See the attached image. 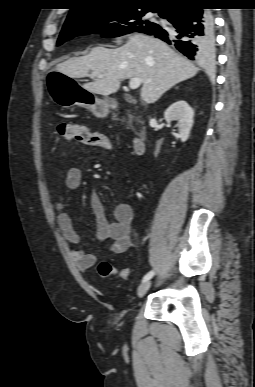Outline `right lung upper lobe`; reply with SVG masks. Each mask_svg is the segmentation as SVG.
I'll return each mask as SVG.
<instances>
[{"instance_id":"right-lung-upper-lobe-1","label":"right lung upper lobe","mask_w":255,"mask_h":387,"mask_svg":"<svg viewBox=\"0 0 255 387\" xmlns=\"http://www.w3.org/2000/svg\"><path fill=\"white\" fill-rule=\"evenodd\" d=\"M190 1L193 0H76V6L69 12L65 23L75 21L97 10L144 6L154 7L164 11L172 6Z\"/></svg>"}]
</instances>
